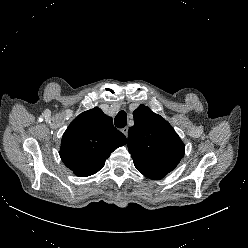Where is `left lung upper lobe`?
I'll return each mask as SVG.
<instances>
[{
	"mask_svg": "<svg viewBox=\"0 0 248 248\" xmlns=\"http://www.w3.org/2000/svg\"><path fill=\"white\" fill-rule=\"evenodd\" d=\"M133 115L127 146L134 165L144 176L160 180L180 162L185 146L172 126L145 105Z\"/></svg>",
	"mask_w": 248,
	"mask_h": 248,
	"instance_id": "5c2ea615",
	"label": "left lung upper lobe"
}]
</instances>
